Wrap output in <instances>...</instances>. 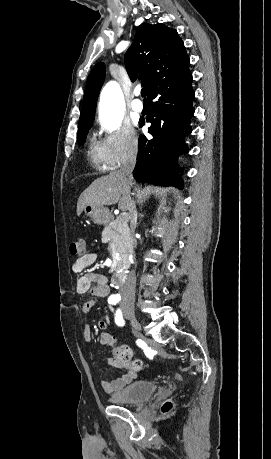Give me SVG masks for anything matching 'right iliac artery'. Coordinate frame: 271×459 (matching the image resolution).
Returning <instances> with one entry per match:
<instances>
[{
  "label": "right iliac artery",
  "mask_w": 271,
  "mask_h": 459,
  "mask_svg": "<svg viewBox=\"0 0 271 459\" xmlns=\"http://www.w3.org/2000/svg\"><path fill=\"white\" fill-rule=\"evenodd\" d=\"M118 301H119V300H117V299H115V298H113V297H109V298H108V303H109V304H114V305H115Z\"/></svg>",
  "instance_id": "82829eb1"
}]
</instances>
